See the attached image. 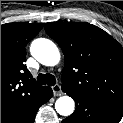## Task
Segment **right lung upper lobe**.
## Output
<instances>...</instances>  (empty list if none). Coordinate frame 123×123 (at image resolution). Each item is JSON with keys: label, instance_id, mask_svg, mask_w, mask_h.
Here are the masks:
<instances>
[{"label": "right lung upper lobe", "instance_id": "cb5924a9", "mask_svg": "<svg viewBox=\"0 0 123 123\" xmlns=\"http://www.w3.org/2000/svg\"><path fill=\"white\" fill-rule=\"evenodd\" d=\"M42 23L1 25V123H8L34 106L46 90L37 86L25 65L26 45Z\"/></svg>", "mask_w": 123, "mask_h": 123}]
</instances>
